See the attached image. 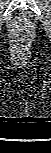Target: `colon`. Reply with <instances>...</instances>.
Returning <instances> with one entry per match:
<instances>
[{
    "mask_svg": "<svg viewBox=\"0 0 51 153\" xmlns=\"http://www.w3.org/2000/svg\"><path fill=\"white\" fill-rule=\"evenodd\" d=\"M15 40L17 43L23 45L28 41V37L25 33L18 32L17 34H15Z\"/></svg>",
    "mask_w": 51,
    "mask_h": 153,
    "instance_id": "5ec220e1",
    "label": "colon"
}]
</instances>
